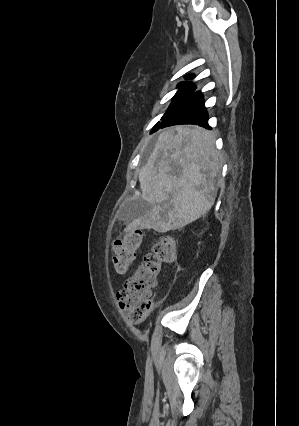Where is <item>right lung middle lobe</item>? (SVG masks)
Here are the masks:
<instances>
[{
	"label": "right lung middle lobe",
	"instance_id": "1",
	"mask_svg": "<svg viewBox=\"0 0 299 426\" xmlns=\"http://www.w3.org/2000/svg\"><path fill=\"white\" fill-rule=\"evenodd\" d=\"M195 87L193 86H182L179 85V90L177 91L176 95L174 96V99L169 106L167 112L173 108L178 102H180L182 99L190 95L192 92H194Z\"/></svg>",
	"mask_w": 299,
	"mask_h": 426
}]
</instances>
